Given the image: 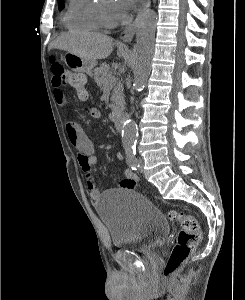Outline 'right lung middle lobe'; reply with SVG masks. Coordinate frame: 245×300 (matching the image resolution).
<instances>
[{
	"label": "right lung middle lobe",
	"instance_id": "dd1d6c3e",
	"mask_svg": "<svg viewBox=\"0 0 245 300\" xmlns=\"http://www.w3.org/2000/svg\"><path fill=\"white\" fill-rule=\"evenodd\" d=\"M58 3H59V8L62 9L63 6H64V0H62V1L58 2Z\"/></svg>",
	"mask_w": 245,
	"mask_h": 300
}]
</instances>
